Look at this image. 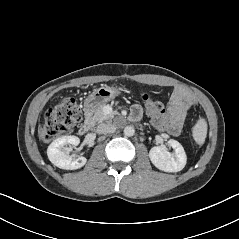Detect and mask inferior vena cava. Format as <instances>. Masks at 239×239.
Instances as JSON below:
<instances>
[{
	"label": "inferior vena cava",
	"mask_w": 239,
	"mask_h": 239,
	"mask_svg": "<svg viewBox=\"0 0 239 239\" xmlns=\"http://www.w3.org/2000/svg\"><path fill=\"white\" fill-rule=\"evenodd\" d=\"M115 131L116 127L112 123H102L97 127V133L99 134H110Z\"/></svg>",
	"instance_id": "inferior-vena-cava-1"
}]
</instances>
